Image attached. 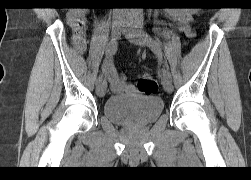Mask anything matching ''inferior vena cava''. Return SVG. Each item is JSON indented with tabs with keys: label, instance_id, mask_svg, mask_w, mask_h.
I'll return each mask as SVG.
<instances>
[{
	"label": "inferior vena cava",
	"instance_id": "obj_1",
	"mask_svg": "<svg viewBox=\"0 0 251 180\" xmlns=\"http://www.w3.org/2000/svg\"><path fill=\"white\" fill-rule=\"evenodd\" d=\"M120 10L119 8H115L114 11H113V15H114V18L115 19H120V18H124L126 16V12L121 10V11H118Z\"/></svg>",
	"mask_w": 251,
	"mask_h": 180
}]
</instances>
